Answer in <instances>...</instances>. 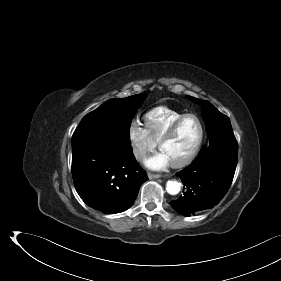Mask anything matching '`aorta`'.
Segmentation results:
<instances>
[{
    "label": "aorta",
    "mask_w": 281,
    "mask_h": 281,
    "mask_svg": "<svg viewBox=\"0 0 281 281\" xmlns=\"http://www.w3.org/2000/svg\"><path fill=\"white\" fill-rule=\"evenodd\" d=\"M181 190V184L176 180L168 181L166 184V191L170 195H177Z\"/></svg>",
    "instance_id": "obj_1"
}]
</instances>
